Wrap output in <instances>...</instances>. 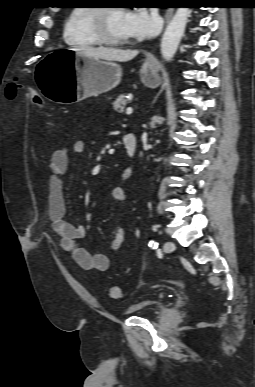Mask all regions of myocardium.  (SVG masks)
Instances as JSON below:
<instances>
[{"label":"myocardium","instance_id":"1","mask_svg":"<svg viewBox=\"0 0 255 387\" xmlns=\"http://www.w3.org/2000/svg\"><path fill=\"white\" fill-rule=\"evenodd\" d=\"M114 7H97L93 9L91 16V26L94 35L101 44L108 46H120L128 43V38L122 39L114 37L108 27V17ZM120 9V8H119Z\"/></svg>","mask_w":255,"mask_h":387}]
</instances>
